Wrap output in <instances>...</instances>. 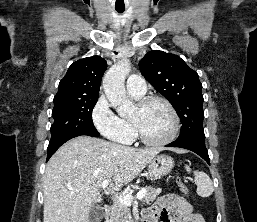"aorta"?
I'll use <instances>...</instances> for the list:
<instances>
[{
  "instance_id": "1",
  "label": "aorta",
  "mask_w": 257,
  "mask_h": 222,
  "mask_svg": "<svg viewBox=\"0 0 257 222\" xmlns=\"http://www.w3.org/2000/svg\"><path fill=\"white\" fill-rule=\"evenodd\" d=\"M130 72V61L123 59L114 64L103 78V90L108 101L123 116L132 112L134 103L127 98L125 79Z\"/></svg>"
}]
</instances>
